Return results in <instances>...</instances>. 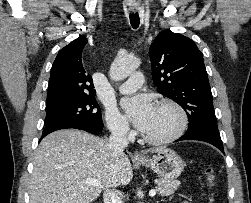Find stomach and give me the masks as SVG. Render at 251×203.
Returning <instances> with one entry per match:
<instances>
[{"instance_id": "0dacf381", "label": "stomach", "mask_w": 251, "mask_h": 203, "mask_svg": "<svg viewBox=\"0 0 251 203\" xmlns=\"http://www.w3.org/2000/svg\"><path fill=\"white\" fill-rule=\"evenodd\" d=\"M147 168L153 170L164 179H175L183 171L185 163L182 158L173 150L163 148L151 158L138 161Z\"/></svg>"}]
</instances>
